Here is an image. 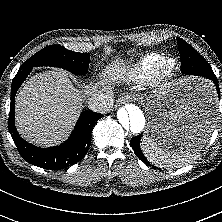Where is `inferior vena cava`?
Masks as SVG:
<instances>
[{"label":"inferior vena cava","instance_id":"obj_1","mask_svg":"<svg viewBox=\"0 0 222 222\" xmlns=\"http://www.w3.org/2000/svg\"><path fill=\"white\" fill-rule=\"evenodd\" d=\"M87 104L90 110L105 114L113 107V96L97 93L88 99Z\"/></svg>","mask_w":222,"mask_h":222}]
</instances>
